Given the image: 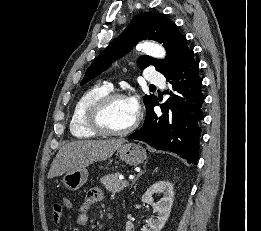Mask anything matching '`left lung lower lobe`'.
Segmentation results:
<instances>
[{"mask_svg":"<svg viewBox=\"0 0 261 231\" xmlns=\"http://www.w3.org/2000/svg\"><path fill=\"white\" fill-rule=\"evenodd\" d=\"M171 84L170 98L162 104V115L154 112L156 99L147 109L143 127L128 136L146 142L153 148L174 152L188 163L199 160V140L203 119L202 79L194 54L178 68L165 75Z\"/></svg>","mask_w":261,"mask_h":231,"instance_id":"0a47b994","label":"left lung lower lobe"}]
</instances>
